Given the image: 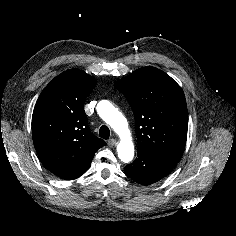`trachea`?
Instances as JSON below:
<instances>
[{
	"label": "trachea",
	"mask_w": 236,
	"mask_h": 236,
	"mask_svg": "<svg viewBox=\"0 0 236 236\" xmlns=\"http://www.w3.org/2000/svg\"><path fill=\"white\" fill-rule=\"evenodd\" d=\"M99 136L103 139H108L110 137V130L107 126L103 125L100 127Z\"/></svg>",
	"instance_id": "obj_1"
}]
</instances>
